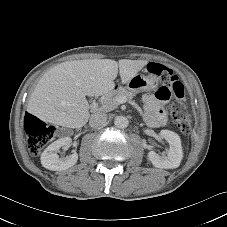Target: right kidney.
<instances>
[{"label":"right kidney","instance_id":"right-kidney-1","mask_svg":"<svg viewBox=\"0 0 227 227\" xmlns=\"http://www.w3.org/2000/svg\"><path fill=\"white\" fill-rule=\"evenodd\" d=\"M72 142L70 137L60 138L51 143L41 155V164L43 167L53 171L66 170L76 164L78 160V154H73L59 158L57 152L63 146L69 145Z\"/></svg>","mask_w":227,"mask_h":227}]
</instances>
